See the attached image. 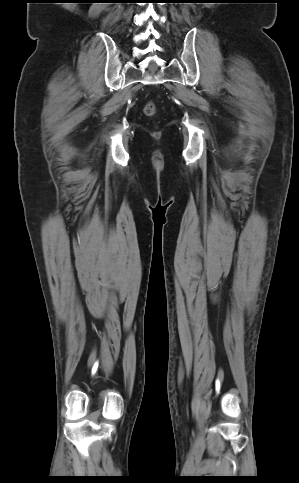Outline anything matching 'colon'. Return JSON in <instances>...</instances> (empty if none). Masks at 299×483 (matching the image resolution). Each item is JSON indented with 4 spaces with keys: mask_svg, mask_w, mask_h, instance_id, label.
<instances>
[{
    "mask_svg": "<svg viewBox=\"0 0 299 483\" xmlns=\"http://www.w3.org/2000/svg\"><path fill=\"white\" fill-rule=\"evenodd\" d=\"M155 111H156V107H155L154 103H152V102L147 103V105L145 106V113L147 115H153L155 113Z\"/></svg>",
    "mask_w": 299,
    "mask_h": 483,
    "instance_id": "obj_1",
    "label": "colon"
}]
</instances>
